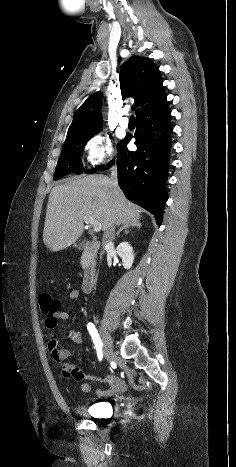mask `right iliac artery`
Segmentation results:
<instances>
[{
  "label": "right iliac artery",
  "instance_id": "obj_1",
  "mask_svg": "<svg viewBox=\"0 0 236 467\" xmlns=\"http://www.w3.org/2000/svg\"><path fill=\"white\" fill-rule=\"evenodd\" d=\"M87 329H88L89 334L91 335V338H92L93 343L95 345L98 359L101 361L102 358H103V351H102L103 343H102V341L100 339L98 331H97L96 327L94 326V324L91 323V322L88 323Z\"/></svg>",
  "mask_w": 236,
  "mask_h": 467
}]
</instances>
